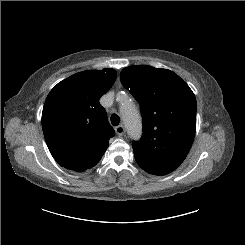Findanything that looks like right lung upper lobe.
<instances>
[{
    "label": "right lung upper lobe",
    "instance_id": "cb5924a9",
    "mask_svg": "<svg viewBox=\"0 0 245 245\" xmlns=\"http://www.w3.org/2000/svg\"><path fill=\"white\" fill-rule=\"evenodd\" d=\"M113 69L76 73L48 94L42 128L54 159L76 172L92 168L106 151L115 132L100 105V97L113 85Z\"/></svg>",
    "mask_w": 245,
    "mask_h": 245
}]
</instances>
